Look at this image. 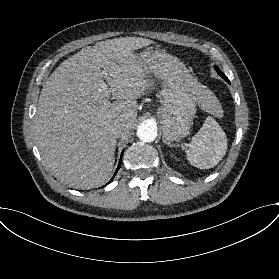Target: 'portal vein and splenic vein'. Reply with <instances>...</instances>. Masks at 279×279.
I'll return each instance as SVG.
<instances>
[{
  "mask_svg": "<svg viewBox=\"0 0 279 279\" xmlns=\"http://www.w3.org/2000/svg\"><path fill=\"white\" fill-rule=\"evenodd\" d=\"M104 88H105V90L108 89L106 84H104ZM108 94H109V91H107V95H108Z\"/></svg>",
  "mask_w": 279,
  "mask_h": 279,
  "instance_id": "1",
  "label": "portal vein and splenic vein"
}]
</instances>
